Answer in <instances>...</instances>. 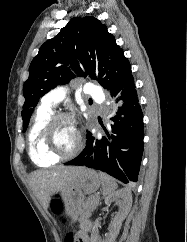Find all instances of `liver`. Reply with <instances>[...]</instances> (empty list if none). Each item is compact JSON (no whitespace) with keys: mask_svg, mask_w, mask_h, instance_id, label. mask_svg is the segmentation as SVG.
Here are the masks:
<instances>
[{"mask_svg":"<svg viewBox=\"0 0 187 242\" xmlns=\"http://www.w3.org/2000/svg\"><path fill=\"white\" fill-rule=\"evenodd\" d=\"M82 167L58 166L32 173L30 183L44 209L49 207L51 196L65 193Z\"/></svg>","mask_w":187,"mask_h":242,"instance_id":"obj_1","label":"liver"}]
</instances>
